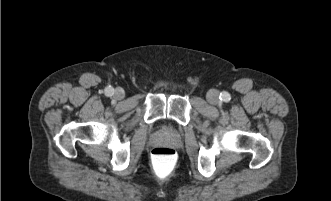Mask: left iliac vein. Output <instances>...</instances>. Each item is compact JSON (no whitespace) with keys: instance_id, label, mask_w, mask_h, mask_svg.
Returning a JSON list of instances; mask_svg holds the SVG:
<instances>
[{"instance_id":"1","label":"left iliac vein","mask_w":331,"mask_h":201,"mask_svg":"<svg viewBox=\"0 0 331 201\" xmlns=\"http://www.w3.org/2000/svg\"><path fill=\"white\" fill-rule=\"evenodd\" d=\"M207 100L210 104H217V102H218V92L216 90H210L207 93Z\"/></svg>"}]
</instances>
